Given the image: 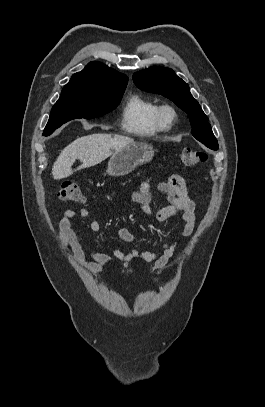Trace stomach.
Returning <instances> with one entry per match:
<instances>
[{
	"label": "stomach",
	"instance_id": "obj_1",
	"mask_svg": "<svg viewBox=\"0 0 265 407\" xmlns=\"http://www.w3.org/2000/svg\"><path fill=\"white\" fill-rule=\"evenodd\" d=\"M153 156L152 145L134 142L112 154L108 162L107 173L111 176L126 175L132 172L137 165L150 162Z\"/></svg>",
	"mask_w": 265,
	"mask_h": 407
}]
</instances>
